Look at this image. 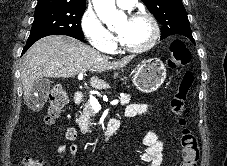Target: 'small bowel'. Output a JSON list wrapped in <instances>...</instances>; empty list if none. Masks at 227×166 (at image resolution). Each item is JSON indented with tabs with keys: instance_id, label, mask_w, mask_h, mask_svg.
Segmentation results:
<instances>
[{
	"instance_id": "1",
	"label": "small bowel",
	"mask_w": 227,
	"mask_h": 166,
	"mask_svg": "<svg viewBox=\"0 0 227 166\" xmlns=\"http://www.w3.org/2000/svg\"><path fill=\"white\" fill-rule=\"evenodd\" d=\"M150 115V110L146 104L135 103L128 105L125 109V116L135 117ZM76 137V131L74 128H68L63 135L66 141L74 140ZM146 145L145 151L141 155V160L146 162L149 166H161L163 162V144L158 139L154 130L150 129L144 138ZM72 158L79 153V146L77 144L67 145L65 142L61 143L58 147V153L64 156L66 153Z\"/></svg>"
}]
</instances>
